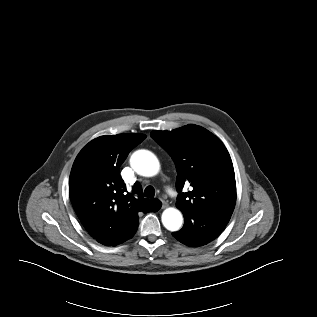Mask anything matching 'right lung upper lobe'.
Here are the masks:
<instances>
[{
    "mask_svg": "<svg viewBox=\"0 0 317 317\" xmlns=\"http://www.w3.org/2000/svg\"><path fill=\"white\" fill-rule=\"evenodd\" d=\"M146 138L143 134L101 136L77 155L69 179L72 206L85 229L101 243L116 246L138 228V213L149 212L158 199L142 197L136 183L129 193L119 167L129 152Z\"/></svg>",
    "mask_w": 317,
    "mask_h": 317,
    "instance_id": "cb5924a9",
    "label": "right lung upper lobe"
}]
</instances>
